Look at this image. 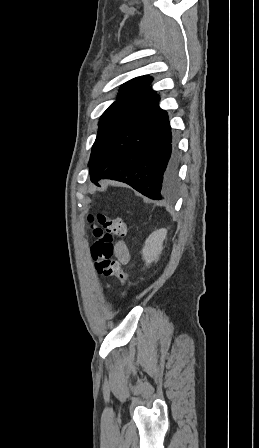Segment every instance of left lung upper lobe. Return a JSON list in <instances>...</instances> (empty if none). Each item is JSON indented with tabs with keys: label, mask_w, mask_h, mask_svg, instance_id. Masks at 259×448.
I'll return each mask as SVG.
<instances>
[{
	"label": "left lung upper lobe",
	"mask_w": 259,
	"mask_h": 448,
	"mask_svg": "<svg viewBox=\"0 0 259 448\" xmlns=\"http://www.w3.org/2000/svg\"><path fill=\"white\" fill-rule=\"evenodd\" d=\"M152 81L150 76H139L120 87L116 101L100 117L98 134L88 166L104 145L126 124L131 114L142 110L155 97L157 92L150 86Z\"/></svg>",
	"instance_id": "left-lung-upper-lobe-1"
}]
</instances>
